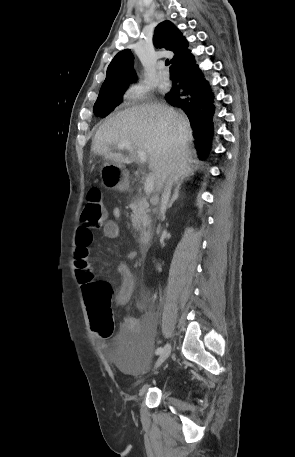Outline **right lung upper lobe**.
<instances>
[{"label":"right lung upper lobe","instance_id":"right-lung-upper-lobe-1","mask_svg":"<svg viewBox=\"0 0 295 457\" xmlns=\"http://www.w3.org/2000/svg\"><path fill=\"white\" fill-rule=\"evenodd\" d=\"M153 43L156 47L165 48L174 53V57L171 60L172 64L188 50V42L170 21H164L158 24L154 31ZM133 64L134 57L129 49L117 53L108 66L106 79L100 92L112 90L134 82L136 80V74Z\"/></svg>","mask_w":295,"mask_h":457}]
</instances>
